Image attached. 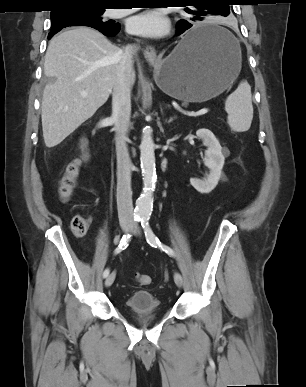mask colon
<instances>
[{"mask_svg":"<svg viewBox=\"0 0 306 387\" xmlns=\"http://www.w3.org/2000/svg\"><path fill=\"white\" fill-rule=\"evenodd\" d=\"M80 173V162L73 160L67 164L64 173L59 181V196L64 202H67L73 196ZM71 230L77 237H83L89 230V221L80 215L74 216L71 220ZM134 281L139 286H146L151 283V277L145 274H136Z\"/></svg>","mask_w":306,"mask_h":387,"instance_id":"5ec220e1","label":"colon"}]
</instances>
